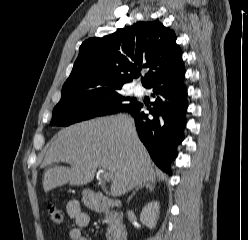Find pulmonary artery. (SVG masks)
I'll return each instance as SVG.
<instances>
[{
  "mask_svg": "<svg viewBox=\"0 0 248 240\" xmlns=\"http://www.w3.org/2000/svg\"><path fill=\"white\" fill-rule=\"evenodd\" d=\"M133 92L136 95H142L143 92H144V90H143V88L140 85H137V86L134 87Z\"/></svg>",
  "mask_w": 248,
  "mask_h": 240,
  "instance_id": "obj_1",
  "label": "pulmonary artery"
}]
</instances>
